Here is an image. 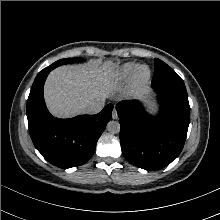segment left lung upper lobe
I'll list each match as a JSON object with an SVG mask.
<instances>
[{
    "label": "left lung upper lobe",
    "mask_w": 220,
    "mask_h": 220,
    "mask_svg": "<svg viewBox=\"0 0 220 220\" xmlns=\"http://www.w3.org/2000/svg\"><path fill=\"white\" fill-rule=\"evenodd\" d=\"M154 88H164L180 93H187L185 84L180 76L166 63L155 59V71L151 83Z\"/></svg>",
    "instance_id": "5c2ea615"
}]
</instances>
